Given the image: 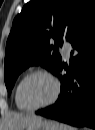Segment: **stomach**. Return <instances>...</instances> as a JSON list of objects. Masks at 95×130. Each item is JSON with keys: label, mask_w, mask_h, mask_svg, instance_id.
Here are the masks:
<instances>
[{"label": "stomach", "mask_w": 95, "mask_h": 130, "mask_svg": "<svg viewBox=\"0 0 95 130\" xmlns=\"http://www.w3.org/2000/svg\"><path fill=\"white\" fill-rule=\"evenodd\" d=\"M24 130H61L60 124L54 120L37 119L30 122Z\"/></svg>", "instance_id": "1"}]
</instances>
